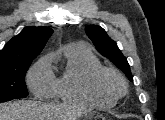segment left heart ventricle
Wrapping results in <instances>:
<instances>
[{"mask_svg": "<svg viewBox=\"0 0 165 120\" xmlns=\"http://www.w3.org/2000/svg\"><path fill=\"white\" fill-rule=\"evenodd\" d=\"M101 85L109 91H118L120 89L119 82L111 75H105L101 80Z\"/></svg>", "mask_w": 165, "mask_h": 120, "instance_id": "b2bd125f", "label": "left heart ventricle"}]
</instances>
